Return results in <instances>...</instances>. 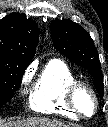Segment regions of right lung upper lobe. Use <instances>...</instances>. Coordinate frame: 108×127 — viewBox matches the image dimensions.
Masks as SVG:
<instances>
[{
  "mask_svg": "<svg viewBox=\"0 0 108 127\" xmlns=\"http://www.w3.org/2000/svg\"><path fill=\"white\" fill-rule=\"evenodd\" d=\"M38 39L37 24L19 13H11L0 21V56L29 64Z\"/></svg>",
  "mask_w": 108,
  "mask_h": 127,
  "instance_id": "cb5924a9",
  "label": "right lung upper lobe"
}]
</instances>
